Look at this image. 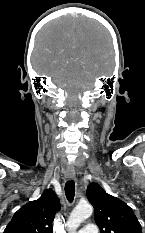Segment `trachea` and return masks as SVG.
Masks as SVG:
<instances>
[{"instance_id": "trachea-1", "label": "trachea", "mask_w": 145, "mask_h": 233, "mask_svg": "<svg viewBox=\"0 0 145 233\" xmlns=\"http://www.w3.org/2000/svg\"><path fill=\"white\" fill-rule=\"evenodd\" d=\"M65 195H66L67 200L69 202H72L74 200V195H75V183H74V181L69 180L65 184Z\"/></svg>"}]
</instances>
